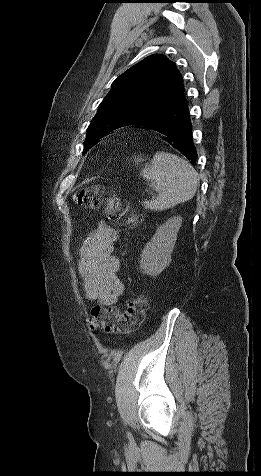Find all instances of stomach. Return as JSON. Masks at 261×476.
<instances>
[{"instance_id":"1","label":"stomach","mask_w":261,"mask_h":476,"mask_svg":"<svg viewBox=\"0 0 261 476\" xmlns=\"http://www.w3.org/2000/svg\"><path fill=\"white\" fill-rule=\"evenodd\" d=\"M134 161H135L136 163H138V162H141V161H143V159H142L141 157H139V156H138L137 158L135 157Z\"/></svg>"}]
</instances>
